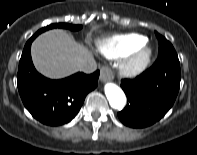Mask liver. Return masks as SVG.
Segmentation results:
<instances>
[{
    "instance_id": "liver-1",
    "label": "liver",
    "mask_w": 197,
    "mask_h": 155,
    "mask_svg": "<svg viewBox=\"0 0 197 155\" xmlns=\"http://www.w3.org/2000/svg\"><path fill=\"white\" fill-rule=\"evenodd\" d=\"M31 54L36 69L52 79L69 76L79 71L84 63L93 60L86 47L61 29L39 35L32 43Z\"/></svg>"
}]
</instances>
